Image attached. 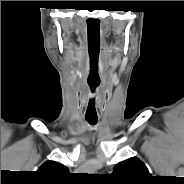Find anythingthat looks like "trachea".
Listing matches in <instances>:
<instances>
[{
	"instance_id": "3493384b",
	"label": "trachea",
	"mask_w": 184,
	"mask_h": 184,
	"mask_svg": "<svg viewBox=\"0 0 184 184\" xmlns=\"http://www.w3.org/2000/svg\"><path fill=\"white\" fill-rule=\"evenodd\" d=\"M86 121L91 125H94L97 122V118H86Z\"/></svg>"
}]
</instances>
